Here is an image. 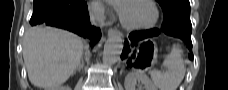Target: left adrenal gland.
<instances>
[{
	"label": "left adrenal gland",
	"instance_id": "obj_1",
	"mask_svg": "<svg viewBox=\"0 0 228 90\" xmlns=\"http://www.w3.org/2000/svg\"><path fill=\"white\" fill-rule=\"evenodd\" d=\"M123 71H124V70L122 69V70L120 71V74H122V73H123Z\"/></svg>",
	"mask_w": 228,
	"mask_h": 90
}]
</instances>
